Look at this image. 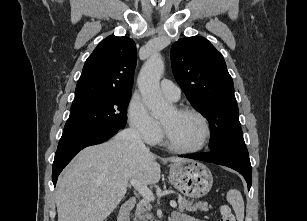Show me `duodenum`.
Listing matches in <instances>:
<instances>
[{
    "instance_id": "obj_1",
    "label": "duodenum",
    "mask_w": 307,
    "mask_h": 221,
    "mask_svg": "<svg viewBox=\"0 0 307 221\" xmlns=\"http://www.w3.org/2000/svg\"><path fill=\"white\" fill-rule=\"evenodd\" d=\"M135 203V199L131 198L121 206L118 214V221H130V214L135 206Z\"/></svg>"
}]
</instances>
